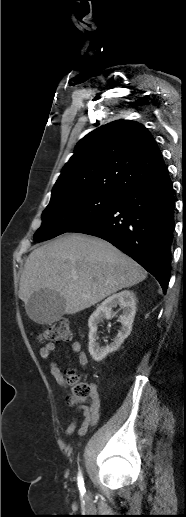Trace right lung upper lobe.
<instances>
[{
  "instance_id": "right-lung-upper-lobe-1",
  "label": "right lung upper lobe",
  "mask_w": 186,
  "mask_h": 517,
  "mask_svg": "<svg viewBox=\"0 0 186 517\" xmlns=\"http://www.w3.org/2000/svg\"><path fill=\"white\" fill-rule=\"evenodd\" d=\"M166 173L162 154L142 124L113 121L78 142L54 185L51 199L78 193L121 196Z\"/></svg>"
}]
</instances>
